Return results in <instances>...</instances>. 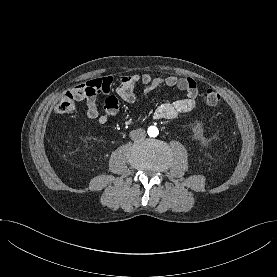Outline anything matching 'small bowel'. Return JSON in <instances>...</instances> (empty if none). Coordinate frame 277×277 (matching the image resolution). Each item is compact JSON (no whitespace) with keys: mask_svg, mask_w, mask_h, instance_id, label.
<instances>
[{"mask_svg":"<svg viewBox=\"0 0 277 277\" xmlns=\"http://www.w3.org/2000/svg\"><path fill=\"white\" fill-rule=\"evenodd\" d=\"M114 78L104 76L87 81L83 84L85 93L80 98L86 103V115L89 119L97 121L99 124H105L111 116L119 111V101L116 96L110 95L114 86ZM142 85L141 95L147 96L160 86L175 87L185 92L186 97L176 100L172 103H163L159 105L153 114L158 120H172L180 114L191 111L196 104L198 88L192 78H182L177 76L158 77L149 74L124 75L120 78L116 87L117 96L126 103L134 104L137 101L135 87ZM106 95L104 111L101 113L98 107V96Z\"/></svg>","mask_w":277,"mask_h":277,"instance_id":"1","label":"small bowel"}]
</instances>
